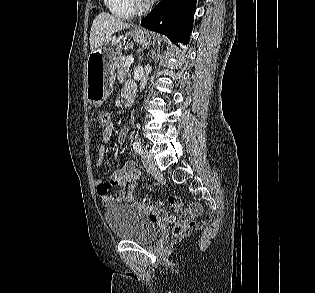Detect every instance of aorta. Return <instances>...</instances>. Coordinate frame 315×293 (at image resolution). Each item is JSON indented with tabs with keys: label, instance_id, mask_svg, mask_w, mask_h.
Listing matches in <instances>:
<instances>
[{
	"label": "aorta",
	"instance_id": "aorta-1",
	"mask_svg": "<svg viewBox=\"0 0 315 293\" xmlns=\"http://www.w3.org/2000/svg\"><path fill=\"white\" fill-rule=\"evenodd\" d=\"M151 70V66L149 64H147L144 68L145 71V75L142 77L141 83H140V90L142 91L146 84H147V80H148V73Z\"/></svg>",
	"mask_w": 315,
	"mask_h": 293
}]
</instances>
